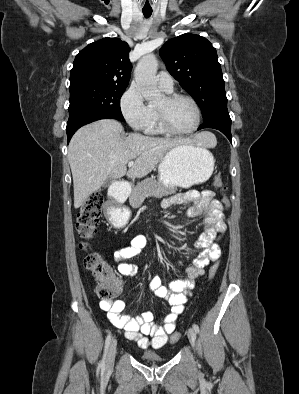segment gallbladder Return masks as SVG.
Instances as JSON below:
<instances>
[{"label":"gallbladder","mask_w":299,"mask_h":394,"mask_svg":"<svg viewBox=\"0 0 299 394\" xmlns=\"http://www.w3.org/2000/svg\"><path fill=\"white\" fill-rule=\"evenodd\" d=\"M113 182H114L113 178L109 177V178H107V179L104 181V183H103L102 186H103L104 188L109 187Z\"/></svg>","instance_id":"gallbladder-1"}]
</instances>
